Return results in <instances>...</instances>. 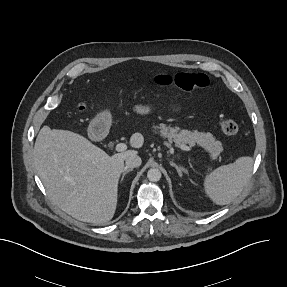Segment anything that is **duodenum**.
I'll list each match as a JSON object with an SVG mask.
<instances>
[{
    "mask_svg": "<svg viewBox=\"0 0 287 287\" xmlns=\"http://www.w3.org/2000/svg\"><path fill=\"white\" fill-rule=\"evenodd\" d=\"M109 127L104 122L96 123L92 126V135L98 137H105L108 134Z\"/></svg>",
    "mask_w": 287,
    "mask_h": 287,
    "instance_id": "410a0bca",
    "label": "duodenum"
}]
</instances>
